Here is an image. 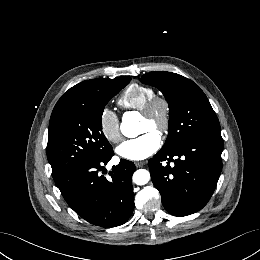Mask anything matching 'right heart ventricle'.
Returning <instances> with one entry per match:
<instances>
[{
	"label": "right heart ventricle",
	"mask_w": 260,
	"mask_h": 260,
	"mask_svg": "<svg viewBox=\"0 0 260 260\" xmlns=\"http://www.w3.org/2000/svg\"><path fill=\"white\" fill-rule=\"evenodd\" d=\"M155 95L153 88L138 83L129 85L118 99L124 109L141 110L145 103Z\"/></svg>",
	"instance_id": "right-heart-ventricle-1"
}]
</instances>
